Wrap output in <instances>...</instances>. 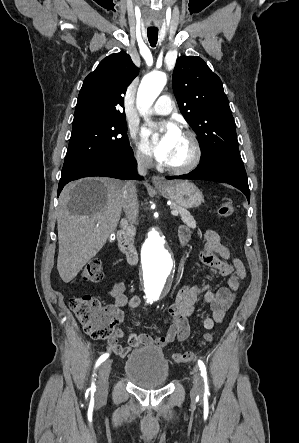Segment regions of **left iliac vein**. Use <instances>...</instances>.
I'll return each instance as SVG.
<instances>
[{"label":"left iliac vein","mask_w":299,"mask_h":443,"mask_svg":"<svg viewBox=\"0 0 299 443\" xmlns=\"http://www.w3.org/2000/svg\"><path fill=\"white\" fill-rule=\"evenodd\" d=\"M192 376H193L192 394L196 395L203 393V381L197 367H194L192 371Z\"/></svg>","instance_id":"obj_1"}]
</instances>
